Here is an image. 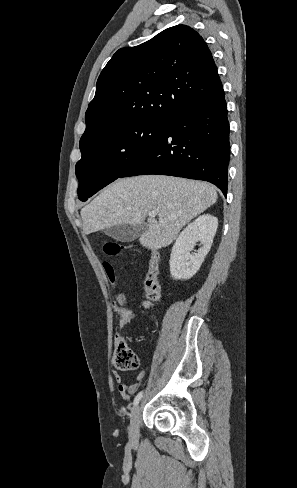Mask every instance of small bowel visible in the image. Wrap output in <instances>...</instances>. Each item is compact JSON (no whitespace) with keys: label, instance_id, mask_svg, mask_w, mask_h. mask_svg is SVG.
<instances>
[{"label":"small bowel","instance_id":"1","mask_svg":"<svg viewBox=\"0 0 297 488\" xmlns=\"http://www.w3.org/2000/svg\"><path fill=\"white\" fill-rule=\"evenodd\" d=\"M134 317H135V315L132 312L125 313L121 318V324L128 323L130 320L134 319ZM112 376H113V379L115 380V383L117 384V388H118L119 392L121 393L122 398L124 400H129L130 396L135 394L136 391L138 390L139 383L141 381H143V379L145 378V372L140 371L136 376L135 382L130 383V384H127L123 381V378L118 371L114 370L112 372Z\"/></svg>","mask_w":297,"mask_h":488}]
</instances>
